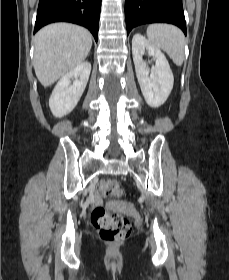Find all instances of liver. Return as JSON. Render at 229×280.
Instances as JSON below:
<instances>
[{"instance_id":"6515ba94","label":"liver","mask_w":229,"mask_h":280,"mask_svg":"<svg viewBox=\"0 0 229 280\" xmlns=\"http://www.w3.org/2000/svg\"><path fill=\"white\" fill-rule=\"evenodd\" d=\"M34 47L35 74L48 87L86 59L92 47V35L77 25L54 23L36 33Z\"/></svg>"}]
</instances>
